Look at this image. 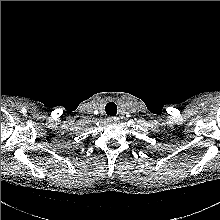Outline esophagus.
<instances>
[{"mask_svg": "<svg viewBox=\"0 0 220 220\" xmlns=\"http://www.w3.org/2000/svg\"><path fill=\"white\" fill-rule=\"evenodd\" d=\"M118 121H119V118L115 116H111L108 118L109 123H117Z\"/></svg>", "mask_w": 220, "mask_h": 220, "instance_id": "obj_1", "label": "esophagus"}]
</instances>
